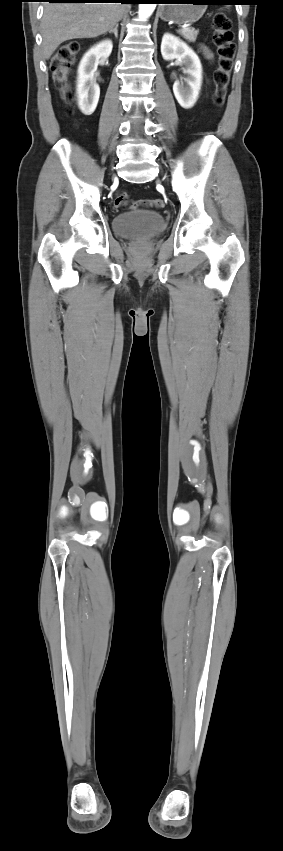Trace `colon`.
Returning <instances> with one entry per match:
<instances>
[{"label": "colon", "mask_w": 283, "mask_h": 851, "mask_svg": "<svg viewBox=\"0 0 283 851\" xmlns=\"http://www.w3.org/2000/svg\"><path fill=\"white\" fill-rule=\"evenodd\" d=\"M212 29V38L218 54V67L214 75L215 89L213 102L217 107H221L227 95V88L236 55V46L234 43L232 22L224 12H218L214 15ZM80 50L81 44L79 42H68L58 48L49 62L53 79L62 86L64 96L68 99L71 98V92L67 87L70 67ZM138 204L162 208L165 202L163 199L157 198L153 200L146 199L136 203L130 199L127 192H121L115 199V207L118 209L134 208Z\"/></svg>", "instance_id": "colon-1"}]
</instances>
